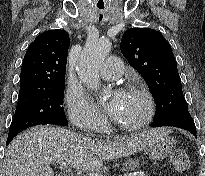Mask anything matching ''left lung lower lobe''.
<instances>
[{
  "mask_svg": "<svg viewBox=\"0 0 205 176\" xmlns=\"http://www.w3.org/2000/svg\"><path fill=\"white\" fill-rule=\"evenodd\" d=\"M152 127H161V126H173L178 127L181 129L188 130L191 132L195 137L196 136V127L194 121L188 112V109L185 108L176 114L160 121V122H153Z\"/></svg>",
  "mask_w": 205,
  "mask_h": 176,
  "instance_id": "obj_1",
  "label": "left lung lower lobe"
}]
</instances>
